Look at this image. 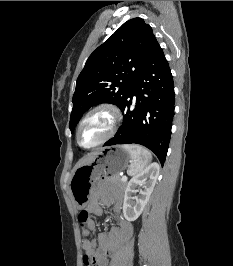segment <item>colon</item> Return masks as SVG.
I'll use <instances>...</instances> for the list:
<instances>
[{
    "label": "colon",
    "instance_id": "5ec220e1",
    "mask_svg": "<svg viewBox=\"0 0 233 266\" xmlns=\"http://www.w3.org/2000/svg\"><path fill=\"white\" fill-rule=\"evenodd\" d=\"M89 218L90 217H89V213L87 210H82L79 212L78 221H79L82 228L86 227V224H87ZM85 260H86V263H89V264L91 263V258L86 257Z\"/></svg>",
    "mask_w": 233,
    "mask_h": 266
}]
</instances>
